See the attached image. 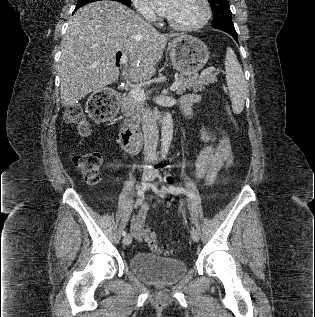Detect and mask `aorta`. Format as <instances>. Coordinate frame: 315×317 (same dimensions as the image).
<instances>
[{"mask_svg": "<svg viewBox=\"0 0 315 317\" xmlns=\"http://www.w3.org/2000/svg\"><path fill=\"white\" fill-rule=\"evenodd\" d=\"M173 138V119L170 113H166L161 128V152L162 156L168 154Z\"/></svg>", "mask_w": 315, "mask_h": 317, "instance_id": "762f6f07", "label": "aorta"}]
</instances>
